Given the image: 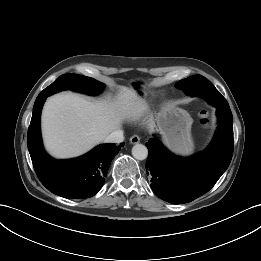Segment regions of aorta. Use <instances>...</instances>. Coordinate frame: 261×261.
<instances>
[{"mask_svg": "<svg viewBox=\"0 0 261 261\" xmlns=\"http://www.w3.org/2000/svg\"><path fill=\"white\" fill-rule=\"evenodd\" d=\"M132 155L137 160H144L148 156V149L143 144H136L132 148Z\"/></svg>", "mask_w": 261, "mask_h": 261, "instance_id": "aorta-1", "label": "aorta"}]
</instances>
